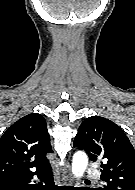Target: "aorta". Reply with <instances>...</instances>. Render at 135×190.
<instances>
[{"label":"aorta","mask_w":135,"mask_h":190,"mask_svg":"<svg viewBox=\"0 0 135 190\" xmlns=\"http://www.w3.org/2000/svg\"><path fill=\"white\" fill-rule=\"evenodd\" d=\"M88 165V157L84 152H76L72 161V173L76 178H81Z\"/></svg>","instance_id":"obj_1"}]
</instances>
